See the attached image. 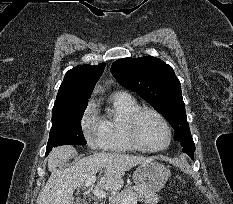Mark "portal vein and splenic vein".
Returning <instances> with one entry per match:
<instances>
[{
    "label": "portal vein and splenic vein",
    "mask_w": 233,
    "mask_h": 204,
    "mask_svg": "<svg viewBox=\"0 0 233 204\" xmlns=\"http://www.w3.org/2000/svg\"><path fill=\"white\" fill-rule=\"evenodd\" d=\"M96 181V176H91L88 179H86L85 181V187H90L91 185H93ZM92 193L94 196H96L99 199H103L107 197L106 192H104L103 190L99 189V188H95V189H91ZM110 201H113L114 198H109ZM121 204H137V200L135 198L132 199H124L121 201Z\"/></svg>",
    "instance_id": "1"
}]
</instances>
